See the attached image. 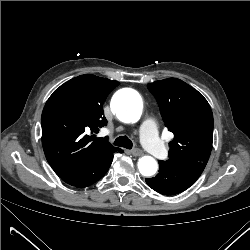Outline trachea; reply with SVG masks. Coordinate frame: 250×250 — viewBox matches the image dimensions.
I'll return each mask as SVG.
<instances>
[{
  "mask_svg": "<svg viewBox=\"0 0 250 250\" xmlns=\"http://www.w3.org/2000/svg\"><path fill=\"white\" fill-rule=\"evenodd\" d=\"M114 145L124 147L126 149H132L133 147L131 140H129L127 136H120L116 138V140L114 141Z\"/></svg>",
  "mask_w": 250,
  "mask_h": 250,
  "instance_id": "1",
  "label": "trachea"
}]
</instances>
